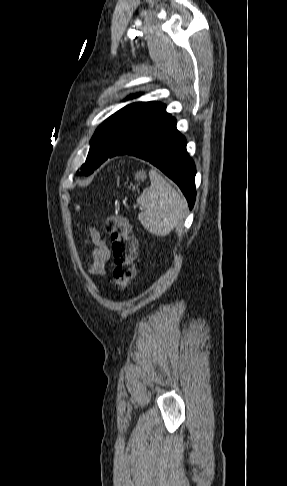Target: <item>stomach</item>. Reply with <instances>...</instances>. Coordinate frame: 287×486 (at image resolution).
<instances>
[{
	"instance_id": "obj_1",
	"label": "stomach",
	"mask_w": 287,
	"mask_h": 486,
	"mask_svg": "<svg viewBox=\"0 0 287 486\" xmlns=\"http://www.w3.org/2000/svg\"><path fill=\"white\" fill-rule=\"evenodd\" d=\"M146 178V173L142 170V171H139L135 174V179L137 180H144Z\"/></svg>"
}]
</instances>
